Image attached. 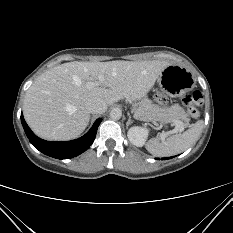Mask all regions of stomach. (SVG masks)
<instances>
[{"label":"stomach","mask_w":233,"mask_h":233,"mask_svg":"<svg viewBox=\"0 0 233 233\" xmlns=\"http://www.w3.org/2000/svg\"><path fill=\"white\" fill-rule=\"evenodd\" d=\"M158 85L171 96L180 97L194 87V77L188 69L176 64H169L163 69L158 80L153 81V86ZM153 107L158 121L162 125H166L172 117L179 113L178 107L170 109Z\"/></svg>","instance_id":"obj_1"}]
</instances>
